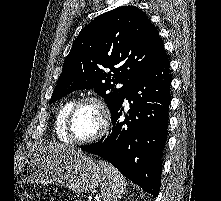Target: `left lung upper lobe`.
<instances>
[{
  "mask_svg": "<svg viewBox=\"0 0 221 201\" xmlns=\"http://www.w3.org/2000/svg\"><path fill=\"white\" fill-rule=\"evenodd\" d=\"M165 55L156 27L139 8L108 11L73 42L49 103L74 90L94 89L112 114L128 90ZM119 83L123 86L116 88Z\"/></svg>",
  "mask_w": 221,
  "mask_h": 201,
  "instance_id": "left-lung-upper-lobe-1",
  "label": "left lung upper lobe"
}]
</instances>
